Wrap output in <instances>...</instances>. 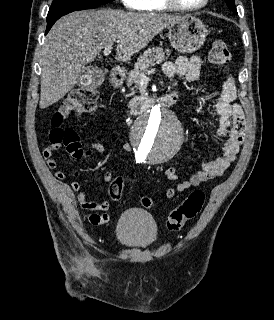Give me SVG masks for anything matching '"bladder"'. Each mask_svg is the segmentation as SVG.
I'll return each instance as SVG.
<instances>
[{"label": "bladder", "instance_id": "bladder-1", "mask_svg": "<svg viewBox=\"0 0 274 320\" xmlns=\"http://www.w3.org/2000/svg\"><path fill=\"white\" fill-rule=\"evenodd\" d=\"M116 236L125 247L146 248L157 240L158 231L154 219L148 212L129 209L117 222Z\"/></svg>", "mask_w": 274, "mask_h": 320}]
</instances>
